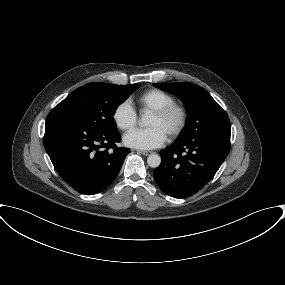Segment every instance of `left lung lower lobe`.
I'll return each instance as SVG.
<instances>
[{"label":"left lung lower lobe","instance_id":"obj_1","mask_svg":"<svg viewBox=\"0 0 285 285\" xmlns=\"http://www.w3.org/2000/svg\"><path fill=\"white\" fill-rule=\"evenodd\" d=\"M230 151L228 136H198L178 141L160 152L153 176L159 188L174 198H186L204 187Z\"/></svg>","mask_w":285,"mask_h":285}]
</instances>
